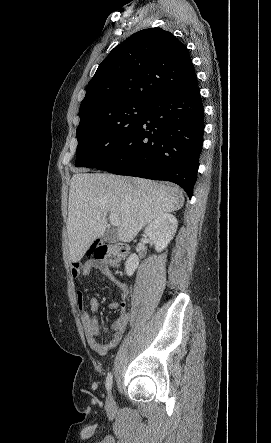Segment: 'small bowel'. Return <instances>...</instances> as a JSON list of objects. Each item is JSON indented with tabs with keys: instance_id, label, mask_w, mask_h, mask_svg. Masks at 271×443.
Listing matches in <instances>:
<instances>
[{
	"instance_id": "obj_1",
	"label": "small bowel",
	"mask_w": 271,
	"mask_h": 443,
	"mask_svg": "<svg viewBox=\"0 0 271 443\" xmlns=\"http://www.w3.org/2000/svg\"><path fill=\"white\" fill-rule=\"evenodd\" d=\"M95 269H99L104 276L119 288L121 293L120 301H113L109 304L110 309H118L120 313L118 318L110 325L112 334L108 339L104 338L103 326L95 316L99 309L98 300L94 297H89L88 304L90 309L87 310L84 306V292L80 290L77 293V306L87 343L94 352L105 354L119 343L129 324L130 313L127 311V299L130 291L126 283L118 280L109 268L95 260L88 261L83 265L77 262L73 263L71 274L74 278L79 276L88 277Z\"/></svg>"
}]
</instances>
